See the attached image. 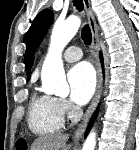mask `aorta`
I'll return each instance as SVG.
<instances>
[{
  "label": "aorta",
  "instance_id": "obj_1",
  "mask_svg": "<svg viewBox=\"0 0 139 150\" xmlns=\"http://www.w3.org/2000/svg\"><path fill=\"white\" fill-rule=\"evenodd\" d=\"M80 25L81 19L73 15L64 21H57L53 27L49 50L41 72L42 88L47 94L66 96L69 93L61 54L77 33ZM95 146L96 133L92 131L84 142L82 150H95Z\"/></svg>",
  "mask_w": 139,
  "mask_h": 150
}]
</instances>
